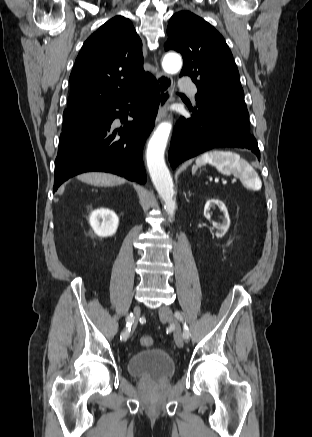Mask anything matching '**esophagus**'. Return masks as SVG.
<instances>
[{"label": "esophagus", "mask_w": 312, "mask_h": 437, "mask_svg": "<svg viewBox=\"0 0 312 437\" xmlns=\"http://www.w3.org/2000/svg\"><path fill=\"white\" fill-rule=\"evenodd\" d=\"M156 63V78L159 84V93H160V104L158 109V114L156 117V122H160L167 115V107L172 100L173 96V79L170 75L162 72L159 69L157 60L155 58Z\"/></svg>", "instance_id": "1"}]
</instances>
